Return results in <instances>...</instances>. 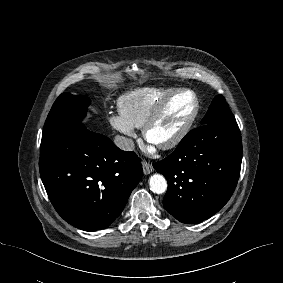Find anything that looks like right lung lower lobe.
Instances as JSON below:
<instances>
[{"label": "right lung lower lobe", "instance_id": "obj_1", "mask_svg": "<svg viewBox=\"0 0 283 283\" xmlns=\"http://www.w3.org/2000/svg\"><path fill=\"white\" fill-rule=\"evenodd\" d=\"M141 159L82 124L39 160L51 203L69 224L85 231L108 227L122 212L143 170Z\"/></svg>", "mask_w": 283, "mask_h": 283}]
</instances>
